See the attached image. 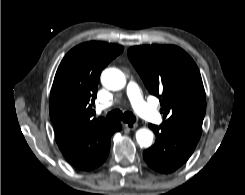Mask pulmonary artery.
<instances>
[{
	"label": "pulmonary artery",
	"instance_id": "e3ab8cb5",
	"mask_svg": "<svg viewBox=\"0 0 245 195\" xmlns=\"http://www.w3.org/2000/svg\"><path fill=\"white\" fill-rule=\"evenodd\" d=\"M127 94L131 101V104L135 111L145 120L158 124L161 122V116L157 112V110L146 103L144 99L142 98V95L140 93V90L137 86V84L133 81H130L127 85ZM112 103H108L105 105H101L100 109L107 108L111 106Z\"/></svg>",
	"mask_w": 245,
	"mask_h": 195
}]
</instances>
